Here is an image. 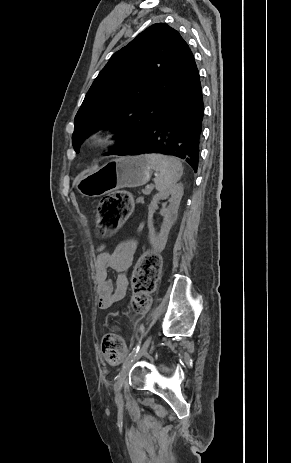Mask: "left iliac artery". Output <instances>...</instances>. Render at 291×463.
I'll use <instances>...</instances> for the list:
<instances>
[{
	"instance_id": "1",
	"label": "left iliac artery",
	"mask_w": 291,
	"mask_h": 463,
	"mask_svg": "<svg viewBox=\"0 0 291 463\" xmlns=\"http://www.w3.org/2000/svg\"><path fill=\"white\" fill-rule=\"evenodd\" d=\"M140 349V342L133 348V350L131 351V353L128 355V357L126 358L125 362L123 363L122 365V369L130 362L133 361V358L136 356V354L138 353Z\"/></svg>"
}]
</instances>
